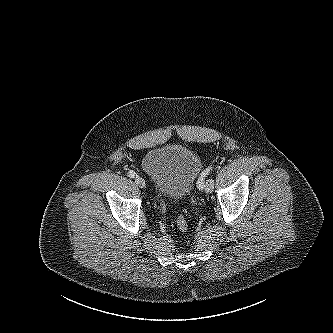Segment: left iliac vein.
<instances>
[{
    "label": "left iliac vein",
    "instance_id": "left-iliac-vein-1",
    "mask_svg": "<svg viewBox=\"0 0 333 333\" xmlns=\"http://www.w3.org/2000/svg\"><path fill=\"white\" fill-rule=\"evenodd\" d=\"M213 187H214L213 179L207 180L206 185H205V191L207 193H211L213 191Z\"/></svg>",
    "mask_w": 333,
    "mask_h": 333
}]
</instances>
